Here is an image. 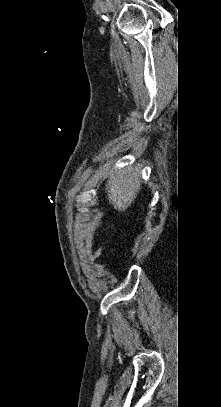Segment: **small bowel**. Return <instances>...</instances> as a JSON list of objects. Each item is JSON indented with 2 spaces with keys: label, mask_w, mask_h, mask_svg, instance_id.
I'll return each instance as SVG.
<instances>
[{
  "label": "small bowel",
  "mask_w": 221,
  "mask_h": 407,
  "mask_svg": "<svg viewBox=\"0 0 221 407\" xmlns=\"http://www.w3.org/2000/svg\"><path fill=\"white\" fill-rule=\"evenodd\" d=\"M102 255V248L99 247L96 249V251L91 255V261H96L98 260Z\"/></svg>",
  "instance_id": "obj_1"
}]
</instances>
